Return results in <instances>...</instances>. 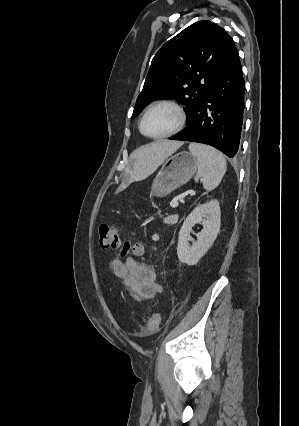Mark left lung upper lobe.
Here are the masks:
<instances>
[{
  "mask_svg": "<svg viewBox=\"0 0 299 426\" xmlns=\"http://www.w3.org/2000/svg\"><path fill=\"white\" fill-rule=\"evenodd\" d=\"M235 51L233 39L222 27L207 20L190 25L154 56L132 118L151 101L176 99L187 106L189 120Z\"/></svg>",
  "mask_w": 299,
  "mask_h": 426,
  "instance_id": "5c2ea615",
  "label": "left lung upper lobe"
}]
</instances>
